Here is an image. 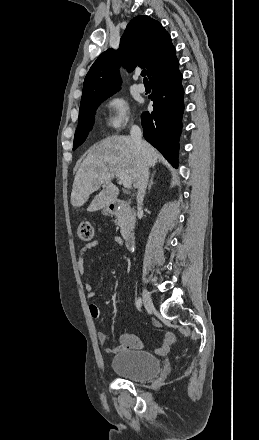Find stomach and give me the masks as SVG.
Segmentation results:
<instances>
[{"mask_svg":"<svg viewBox=\"0 0 259 440\" xmlns=\"http://www.w3.org/2000/svg\"><path fill=\"white\" fill-rule=\"evenodd\" d=\"M110 212H109V210L106 208L105 210H104V214L105 215H108Z\"/></svg>","mask_w":259,"mask_h":440,"instance_id":"0dacf381","label":"stomach"}]
</instances>
